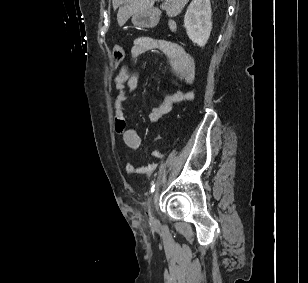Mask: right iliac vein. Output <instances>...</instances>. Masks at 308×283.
I'll return each mask as SVG.
<instances>
[{
  "label": "right iliac vein",
  "mask_w": 308,
  "mask_h": 283,
  "mask_svg": "<svg viewBox=\"0 0 308 283\" xmlns=\"http://www.w3.org/2000/svg\"><path fill=\"white\" fill-rule=\"evenodd\" d=\"M153 198H154V195H152L148 201V212H149L151 219H153V205H152Z\"/></svg>",
  "instance_id": "63e3f726"
}]
</instances>
